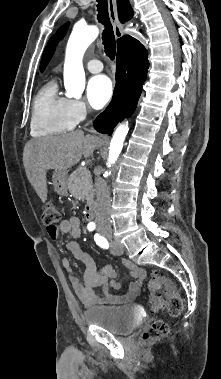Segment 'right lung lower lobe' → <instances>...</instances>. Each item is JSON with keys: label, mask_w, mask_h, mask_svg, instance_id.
Masks as SVG:
<instances>
[{"label": "right lung lower lobe", "mask_w": 221, "mask_h": 379, "mask_svg": "<svg viewBox=\"0 0 221 379\" xmlns=\"http://www.w3.org/2000/svg\"><path fill=\"white\" fill-rule=\"evenodd\" d=\"M116 66L113 99L94 122L98 132L108 135L112 134L119 121L135 111L147 77L148 52L137 39L123 36L118 41Z\"/></svg>", "instance_id": "obj_1"}]
</instances>
